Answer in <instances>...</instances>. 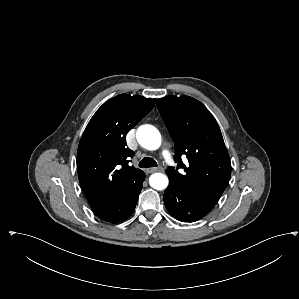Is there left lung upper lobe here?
<instances>
[{
    "label": "left lung upper lobe",
    "mask_w": 299,
    "mask_h": 299,
    "mask_svg": "<svg viewBox=\"0 0 299 299\" xmlns=\"http://www.w3.org/2000/svg\"><path fill=\"white\" fill-rule=\"evenodd\" d=\"M157 108L175 143L180 174L173 167L166 173L169 181L215 205L231 176V163L220 128L207 108L189 96H167L157 100ZM189 165L185 166L181 156Z\"/></svg>",
    "instance_id": "left-lung-upper-lobe-1"
}]
</instances>
